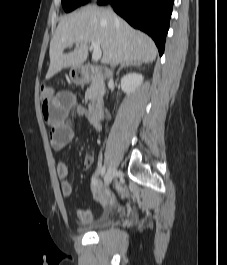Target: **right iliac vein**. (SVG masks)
<instances>
[{
    "instance_id": "63e3f726",
    "label": "right iliac vein",
    "mask_w": 227,
    "mask_h": 265,
    "mask_svg": "<svg viewBox=\"0 0 227 265\" xmlns=\"http://www.w3.org/2000/svg\"><path fill=\"white\" fill-rule=\"evenodd\" d=\"M116 175L115 168H109L108 173L105 177V185L108 186Z\"/></svg>"
}]
</instances>
